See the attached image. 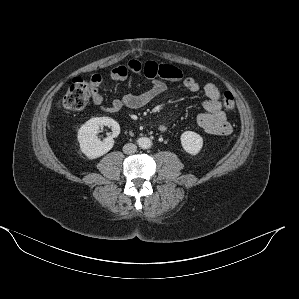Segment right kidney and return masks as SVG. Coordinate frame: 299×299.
<instances>
[{
    "instance_id": "right-kidney-1",
    "label": "right kidney",
    "mask_w": 299,
    "mask_h": 299,
    "mask_svg": "<svg viewBox=\"0 0 299 299\" xmlns=\"http://www.w3.org/2000/svg\"><path fill=\"white\" fill-rule=\"evenodd\" d=\"M102 126H108L112 129V134L101 140L98 138L99 130ZM120 133L119 124L109 117H95L88 120L78 130V142L81 152L89 159H95L109 152L113 145V138Z\"/></svg>"
}]
</instances>
